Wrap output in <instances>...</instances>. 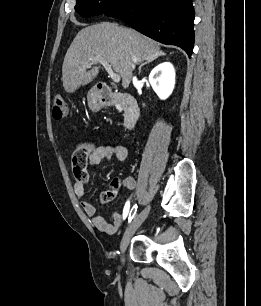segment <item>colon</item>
<instances>
[{"label":"colon","mask_w":261,"mask_h":306,"mask_svg":"<svg viewBox=\"0 0 261 306\" xmlns=\"http://www.w3.org/2000/svg\"><path fill=\"white\" fill-rule=\"evenodd\" d=\"M67 116V107L60 95H55L52 102V117L55 121H62ZM89 155V150L86 147H78L72 156V165L76 169H81L86 165ZM118 193V188L110 191L103 200L109 201L114 198Z\"/></svg>","instance_id":"5ec220e1"}]
</instances>
